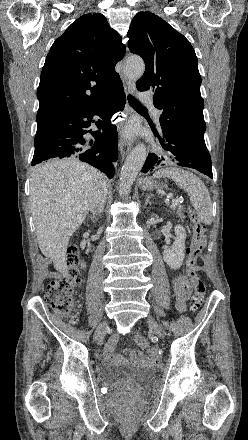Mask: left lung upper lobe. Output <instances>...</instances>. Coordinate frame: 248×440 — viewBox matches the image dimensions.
<instances>
[{
    "label": "left lung upper lobe",
    "mask_w": 248,
    "mask_h": 440,
    "mask_svg": "<svg viewBox=\"0 0 248 440\" xmlns=\"http://www.w3.org/2000/svg\"><path fill=\"white\" fill-rule=\"evenodd\" d=\"M127 36L130 51L140 55L146 65L137 89L153 91L154 106L162 110L160 125L204 138L201 76L190 42L151 12H139Z\"/></svg>",
    "instance_id": "left-lung-upper-lobe-1"
}]
</instances>
